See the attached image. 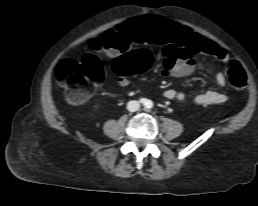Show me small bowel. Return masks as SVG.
Segmentation results:
<instances>
[{
    "label": "small bowel",
    "instance_id": "1",
    "mask_svg": "<svg viewBox=\"0 0 258 206\" xmlns=\"http://www.w3.org/2000/svg\"><path fill=\"white\" fill-rule=\"evenodd\" d=\"M160 41L164 44L163 53V68L161 75H172L175 77H184L191 75L196 69V63L193 59L194 53H202L211 55L219 61L225 62L229 55L227 51L217 45L215 42L206 40L197 33H193L189 28L171 25L170 30L159 36ZM129 42V36L121 29L116 28L105 33L102 39V46L107 54L111 57H119L125 50ZM216 84L219 88L226 83L225 73L217 70L215 73ZM117 83L121 87H127L131 81L125 77L120 76ZM164 98L168 100L177 99L183 101L186 94L183 91L168 89L163 93ZM228 100V96L219 92L216 89L208 90L204 93L198 94L194 98V103L201 106L223 104Z\"/></svg>",
    "mask_w": 258,
    "mask_h": 206
}]
</instances>
